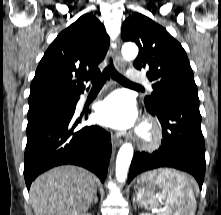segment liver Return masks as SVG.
<instances>
[{"label": "liver", "instance_id": "obj_1", "mask_svg": "<svg viewBox=\"0 0 221 215\" xmlns=\"http://www.w3.org/2000/svg\"><path fill=\"white\" fill-rule=\"evenodd\" d=\"M95 192L93 174L71 165L55 167L40 175L29 191L35 215H83Z\"/></svg>", "mask_w": 221, "mask_h": 215}]
</instances>
